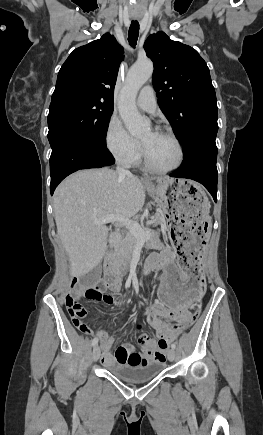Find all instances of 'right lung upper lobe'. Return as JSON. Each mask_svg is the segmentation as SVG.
<instances>
[{
    "instance_id": "right-lung-upper-lobe-1",
    "label": "right lung upper lobe",
    "mask_w": 263,
    "mask_h": 435,
    "mask_svg": "<svg viewBox=\"0 0 263 435\" xmlns=\"http://www.w3.org/2000/svg\"><path fill=\"white\" fill-rule=\"evenodd\" d=\"M123 48L109 33L75 49L62 65L50 106L70 101L113 104Z\"/></svg>"
}]
</instances>
